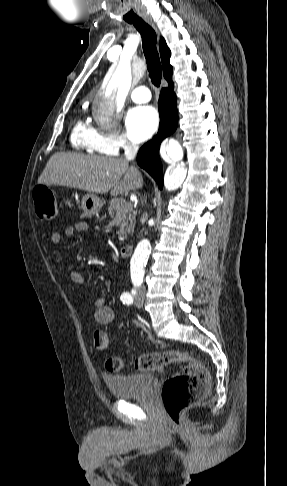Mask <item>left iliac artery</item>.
Segmentation results:
<instances>
[{"instance_id": "1", "label": "left iliac artery", "mask_w": 287, "mask_h": 486, "mask_svg": "<svg viewBox=\"0 0 287 486\" xmlns=\"http://www.w3.org/2000/svg\"><path fill=\"white\" fill-rule=\"evenodd\" d=\"M124 304H131L133 302V298H124L121 299Z\"/></svg>"}]
</instances>
